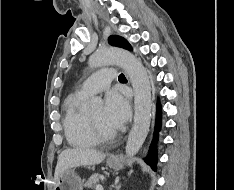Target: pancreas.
Returning a JSON list of instances; mask_svg holds the SVG:
<instances>
[{
	"instance_id": "obj_1",
	"label": "pancreas",
	"mask_w": 234,
	"mask_h": 190,
	"mask_svg": "<svg viewBox=\"0 0 234 190\" xmlns=\"http://www.w3.org/2000/svg\"><path fill=\"white\" fill-rule=\"evenodd\" d=\"M103 177L99 174H93L89 177L88 181L84 184L86 188L95 187Z\"/></svg>"
}]
</instances>
